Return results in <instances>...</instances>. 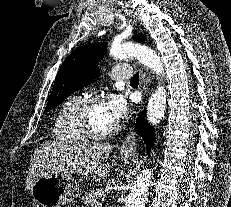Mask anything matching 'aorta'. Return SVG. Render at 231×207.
<instances>
[{
    "mask_svg": "<svg viewBox=\"0 0 231 207\" xmlns=\"http://www.w3.org/2000/svg\"><path fill=\"white\" fill-rule=\"evenodd\" d=\"M109 53L116 59L136 58L146 67L150 68L156 75L163 78L164 68L160 57L152 49L140 44L127 42L122 44H113ZM162 79H160L161 82ZM159 82V86L151 95L147 105L146 117L150 124L160 123L166 109V89ZM153 176L152 169H144L134 180L131 191L127 197L126 207H145L148 188Z\"/></svg>",
    "mask_w": 231,
    "mask_h": 207,
    "instance_id": "762f6f07",
    "label": "aorta"
}]
</instances>
